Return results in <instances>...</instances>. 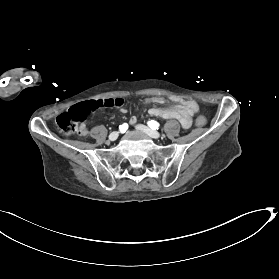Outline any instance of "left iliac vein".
<instances>
[{
    "label": "left iliac vein",
    "instance_id": "1",
    "mask_svg": "<svg viewBox=\"0 0 279 279\" xmlns=\"http://www.w3.org/2000/svg\"><path fill=\"white\" fill-rule=\"evenodd\" d=\"M135 128L144 132V133H146L147 135H149L150 137H152L154 139H158V138L161 137V134L158 131L152 130V129H150V128L142 125V124L136 125Z\"/></svg>",
    "mask_w": 279,
    "mask_h": 279
}]
</instances>
